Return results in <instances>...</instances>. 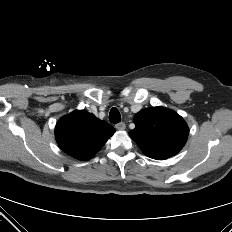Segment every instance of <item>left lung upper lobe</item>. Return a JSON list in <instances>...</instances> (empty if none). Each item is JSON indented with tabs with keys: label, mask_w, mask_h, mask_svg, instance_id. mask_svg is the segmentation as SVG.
Instances as JSON below:
<instances>
[{
	"label": "left lung upper lobe",
	"mask_w": 232,
	"mask_h": 232,
	"mask_svg": "<svg viewBox=\"0 0 232 232\" xmlns=\"http://www.w3.org/2000/svg\"><path fill=\"white\" fill-rule=\"evenodd\" d=\"M134 123L136 127L129 132L130 137L146 156L157 160L177 154L189 134L184 119L161 106L141 110L135 115Z\"/></svg>",
	"instance_id": "obj_1"
}]
</instances>
